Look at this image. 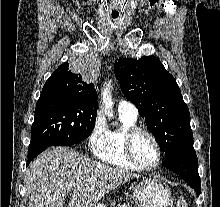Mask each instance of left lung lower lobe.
<instances>
[{
  "mask_svg": "<svg viewBox=\"0 0 220 207\" xmlns=\"http://www.w3.org/2000/svg\"><path fill=\"white\" fill-rule=\"evenodd\" d=\"M164 166L183 177L187 184L196 191L197 196L200 195L201 181L193 145L185 150L166 155Z\"/></svg>",
  "mask_w": 220,
  "mask_h": 207,
  "instance_id": "obj_1",
  "label": "left lung lower lobe"
}]
</instances>
